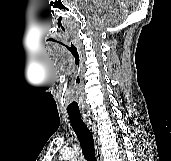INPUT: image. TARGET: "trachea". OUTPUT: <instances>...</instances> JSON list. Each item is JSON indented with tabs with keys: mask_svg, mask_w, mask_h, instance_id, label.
<instances>
[{
	"mask_svg": "<svg viewBox=\"0 0 171 161\" xmlns=\"http://www.w3.org/2000/svg\"><path fill=\"white\" fill-rule=\"evenodd\" d=\"M68 115L71 126L82 147L84 156L89 161H97L95 157L93 135L83 121L80 112H69Z\"/></svg>",
	"mask_w": 171,
	"mask_h": 161,
	"instance_id": "1",
	"label": "trachea"
}]
</instances>
